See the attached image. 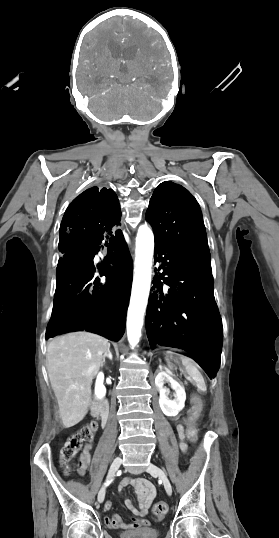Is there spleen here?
Instances as JSON below:
<instances>
[{
	"mask_svg": "<svg viewBox=\"0 0 279 538\" xmlns=\"http://www.w3.org/2000/svg\"><path fill=\"white\" fill-rule=\"evenodd\" d=\"M167 356H172V354H174V352H166ZM180 360H182V364L183 366H185L186 368V372H188L189 376H191V380H196L197 381V386L199 387L197 389V392L199 394H203L205 393V388H204V380L201 378L200 376V372L197 370L196 366H194V364H192L193 360H191V358H185V356H180V354H178ZM171 368V366H170Z\"/></svg>",
	"mask_w": 279,
	"mask_h": 538,
	"instance_id": "obj_1",
	"label": "spleen"
}]
</instances>
